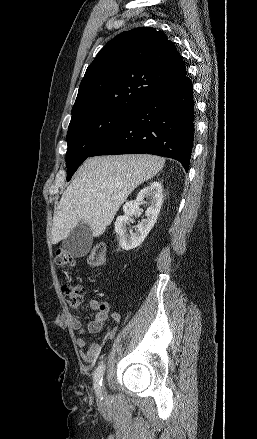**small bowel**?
<instances>
[{
    "label": "small bowel",
    "instance_id": "c3829d8e",
    "mask_svg": "<svg viewBox=\"0 0 257 439\" xmlns=\"http://www.w3.org/2000/svg\"><path fill=\"white\" fill-rule=\"evenodd\" d=\"M84 309H90L96 311L94 319L89 321L86 325H83L77 318L70 317V324L72 325V327L81 334L85 332H89V333L101 332L110 315L109 303L105 301L91 299L86 303ZM112 318L115 321L119 320V316L116 313L112 314ZM114 332H115L114 330L110 332L109 334L110 339L114 336ZM76 343L77 346L80 349H82L81 358L87 363H93L96 360V358L100 355L106 341H103L101 343H92L88 348H86V341L83 338H78Z\"/></svg>",
    "mask_w": 257,
    "mask_h": 439
}]
</instances>
